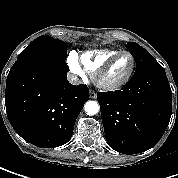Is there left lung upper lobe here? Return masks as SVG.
I'll list each match as a JSON object with an SVG mask.
<instances>
[{
    "label": "left lung upper lobe",
    "instance_id": "obj_1",
    "mask_svg": "<svg viewBox=\"0 0 178 178\" xmlns=\"http://www.w3.org/2000/svg\"><path fill=\"white\" fill-rule=\"evenodd\" d=\"M127 48L135 59L136 69L133 76L149 72L151 70L162 69L163 67L154 59V57L143 47L135 42H128Z\"/></svg>",
    "mask_w": 178,
    "mask_h": 178
}]
</instances>
